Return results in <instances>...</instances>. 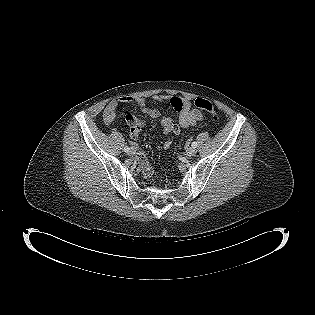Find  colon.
Masks as SVG:
<instances>
[{
    "label": "colon",
    "instance_id": "1",
    "mask_svg": "<svg viewBox=\"0 0 315 315\" xmlns=\"http://www.w3.org/2000/svg\"><path fill=\"white\" fill-rule=\"evenodd\" d=\"M195 106L196 108L209 113L214 119L218 117L214 105L209 100L198 98L195 100ZM126 120L130 124V132H132V129L140 123V120L131 114L126 117Z\"/></svg>",
    "mask_w": 315,
    "mask_h": 315
}]
</instances>
